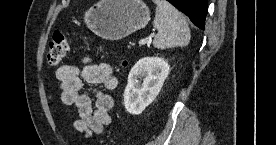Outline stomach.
<instances>
[{
    "label": "stomach",
    "mask_w": 276,
    "mask_h": 145,
    "mask_svg": "<svg viewBox=\"0 0 276 145\" xmlns=\"http://www.w3.org/2000/svg\"><path fill=\"white\" fill-rule=\"evenodd\" d=\"M149 20V8L142 0H100L84 14L88 28L111 41L127 37Z\"/></svg>",
    "instance_id": "obj_1"
}]
</instances>
